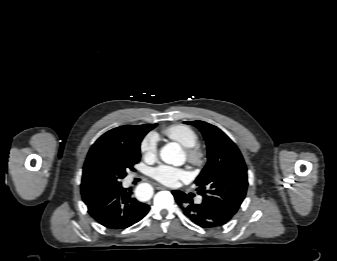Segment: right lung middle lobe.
I'll return each mask as SVG.
<instances>
[{
  "instance_id": "right-lung-middle-lobe-1",
  "label": "right lung middle lobe",
  "mask_w": 337,
  "mask_h": 261,
  "mask_svg": "<svg viewBox=\"0 0 337 261\" xmlns=\"http://www.w3.org/2000/svg\"><path fill=\"white\" fill-rule=\"evenodd\" d=\"M143 136L129 144L99 145L91 148L84 167L81 183L82 195L97 198L120 185L126 170L140 160V142Z\"/></svg>"
}]
</instances>
